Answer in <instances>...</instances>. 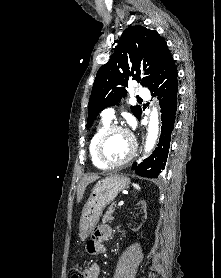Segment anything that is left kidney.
<instances>
[{"label":"left kidney","mask_w":221,"mask_h":278,"mask_svg":"<svg viewBox=\"0 0 221 278\" xmlns=\"http://www.w3.org/2000/svg\"><path fill=\"white\" fill-rule=\"evenodd\" d=\"M137 205H141L143 207V209H144V212L146 213L147 206H146V202L145 201H140Z\"/></svg>","instance_id":"1"}]
</instances>
